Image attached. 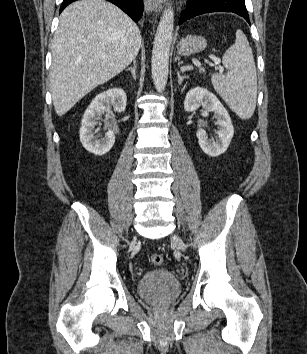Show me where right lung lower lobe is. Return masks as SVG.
Here are the masks:
<instances>
[{"instance_id":"1","label":"right lung lower lobe","mask_w":307,"mask_h":354,"mask_svg":"<svg viewBox=\"0 0 307 354\" xmlns=\"http://www.w3.org/2000/svg\"><path fill=\"white\" fill-rule=\"evenodd\" d=\"M76 0H63L60 11ZM112 2L127 13L135 22L142 18L143 0H107Z\"/></svg>"}]
</instances>
